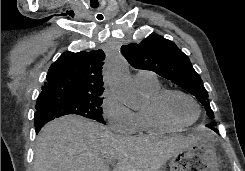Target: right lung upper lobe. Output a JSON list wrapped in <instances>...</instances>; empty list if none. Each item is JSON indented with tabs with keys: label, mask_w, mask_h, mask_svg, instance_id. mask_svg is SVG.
<instances>
[{
	"label": "right lung upper lobe",
	"mask_w": 245,
	"mask_h": 171,
	"mask_svg": "<svg viewBox=\"0 0 245 171\" xmlns=\"http://www.w3.org/2000/svg\"><path fill=\"white\" fill-rule=\"evenodd\" d=\"M104 59L102 50L64 52L50 66L36 105L47 98L102 95Z\"/></svg>",
	"instance_id": "1"
}]
</instances>
